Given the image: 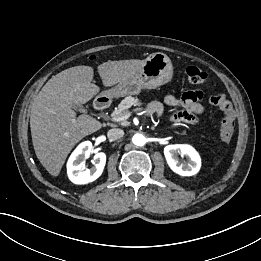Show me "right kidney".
<instances>
[{
  "instance_id": "ca27d5eb",
  "label": "right kidney",
  "mask_w": 261,
  "mask_h": 261,
  "mask_svg": "<svg viewBox=\"0 0 261 261\" xmlns=\"http://www.w3.org/2000/svg\"><path fill=\"white\" fill-rule=\"evenodd\" d=\"M92 143L90 141L82 142L70 155L67 162V174L71 182L75 184H87L95 181L103 172L106 163V155L103 152L94 156V167L84 169V158L91 154Z\"/></svg>"
}]
</instances>
